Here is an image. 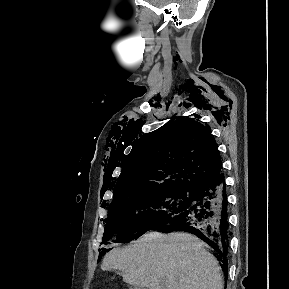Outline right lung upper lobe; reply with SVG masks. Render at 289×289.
Here are the masks:
<instances>
[{
  "label": "right lung upper lobe",
  "mask_w": 289,
  "mask_h": 289,
  "mask_svg": "<svg viewBox=\"0 0 289 289\" xmlns=\"http://www.w3.org/2000/svg\"><path fill=\"white\" fill-rule=\"evenodd\" d=\"M209 129L182 117L141 138L125 161L110 206L155 191H191L218 176L222 161Z\"/></svg>",
  "instance_id": "cb5924a9"
}]
</instances>
